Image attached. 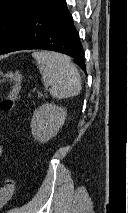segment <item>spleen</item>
Here are the masks:
<instances>
[{
    "instance_id": "3e777b00",
    "label": "spleen",
    "mask_w": 128,
    "mask_h": 213,
    "mask_svg": "<svg viewBox=\"0 0 128 213\" xmlns=\"http://www.w3.org/2000/svg\"><path fill=\"white\" fill-rule=\"evenodd\" d=\"M45 85L50 86V94L57 99L80 94L81 77L71 59L63 54L49 51H33Z\"/></svg>"
}]
</instances>
